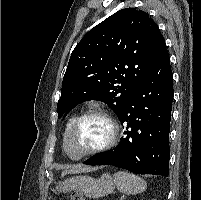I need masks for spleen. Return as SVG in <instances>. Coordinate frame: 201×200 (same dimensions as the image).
I'll return each instance as SVG.
<instances>
[{
    "instance_id": "3e777b00",
    "label": "spleen",
    "mask_w": 201,
    "mask_h": 200,
    "mask_svg": "<svg viewBox=\"0 0 201 200\" xmlns=\"http://www.w3.org/2000/svg\"><path fill=\"white\" fill-rule=\"evenodd\" d=\"M117 189L127 195H136L146 190V182L137 175L126 171H118L113 175Z\"/></svg>"
}]
</instances>
